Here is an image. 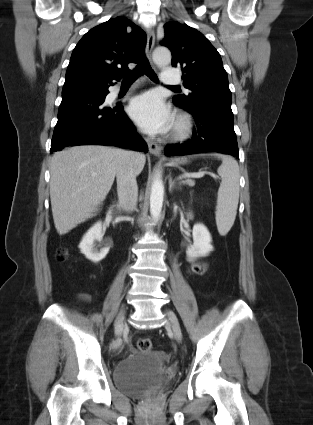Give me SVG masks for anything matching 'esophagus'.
Masks as SVG:
<instances>
[{"label": "esophagus", "instance_id": "esophagus-1", "mask_svg": "<svg viewBox=\"0 0 313 425\" xmlns=\"http://www.w3.org/2000/svg\"><path fill=\"white\" fill-rule=\"evenodd\" d=\"M155 44V33L152 28H147V44H146V55L151 60L152 50ZM148 145L149 152L153 155L160 156L162 147L150 138H145Z\"/></svg>", "mask_w": 313, "mask_h": 425}]
</instances>
